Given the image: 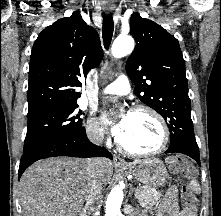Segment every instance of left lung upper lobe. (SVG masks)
<instances>
[{
	"label": "left lung upper lobe",
	"mask_w": 221,
	"mask_h": 216,
	"mask_svg": "<svg viewBox=\"0 0 221 216\" xmlns=\"http://www.w3.org/2000/svg\"><path fill=\"white\" fill-rule=\"evenodd\" d=\"M130 32L136 47L126 63L140 100L167 122L170 147L199 151L191 119L185 62L177 39L155 22L133 14Z\"/></svg>",
	"instance_id": "5c2ea615"
}]
</instances>
